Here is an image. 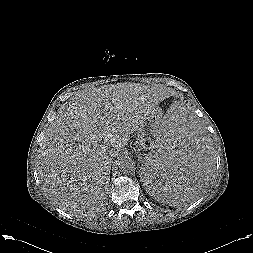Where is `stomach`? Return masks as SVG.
Wrapping results in <instances>:
<instances>
[{
  "instance_id": "0dacf381",
  "label": "stomach",
  "mask_w": 253,
  "mask_h": 253,
  "mask_svg": "<svg viewBox=\"0 0 253 253\" xmlns=\"http://www.w3.org/2000/svg\"><path fill=\"white\" fill-rule=\"evenodd\" d=\"M162 117V112L157 109L155 112L151 113L141 125L138 135V144L141 148H149L153 140L154 133L158 127V123Z\"/></svg>"
}]
</instances>
